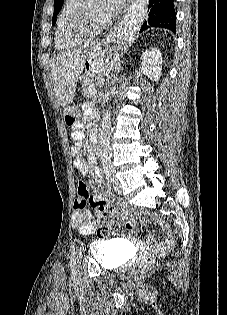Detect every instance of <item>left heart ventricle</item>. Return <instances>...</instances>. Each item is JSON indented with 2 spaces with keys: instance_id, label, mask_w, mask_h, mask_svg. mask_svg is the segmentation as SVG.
<instances>
[{
  "instance_id": "b2bd125f",
  "label": "left heart ventricle",
  "mask_w": 227,
  "mask_h": 315,
  "mask_svg": "<svg viewBox=\"0 0 227 315\" xmlns=\"http://www.w3.org/2000/svg\"><path fill=\"white\" fill-rule=\"evenodd\" d=\"M101 0H88V11L90 17L94 21H102L103 18L101 16Z\"/></svg>"
}]
</instances>
